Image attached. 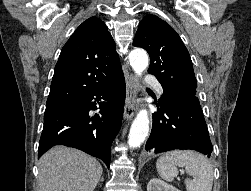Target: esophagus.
I'll return each instance as SVG.
<instances>
[{
  "label": "esophagus",
  "mask_w": 251,
  "mask_h": 191,
  "mask_svg": "<svg viewBox=\"0 0 251 191\" xmlns=\"http://www.w3.org/2000/svg\"><path fill=\"white\" fill-rule=\"evenodd\" d=\"M139 92V83L138 79L133 73L128 75V84L126 91V100L124 106V118L129 121L132 119L137 111L138 107L135 104V98Z\"/></svg>",
  "instance_id": "34e87169"
}]
</instances>
